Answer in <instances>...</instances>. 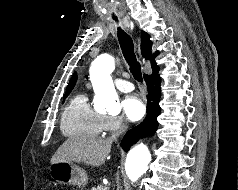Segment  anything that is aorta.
Segmentation results:
<instances>
[{"label": "aorta", "instance_id": "obj_1", "mask_svg": "<svg viewBox=\"0 0 238 190\" xmlns=\"http://www.w3.org/2000/svg\"><path fill=\"white\" fill-rule=\"evenodd\" d=\"M115 67L114 58L109 54L98 56L91 64L90 79L96 94V108L118 113L121 110L111 73ZM151 160L150 152L143 143L132 148L126 159L125 169L128 177L135 181L147 171Z\"/></svg>", "mask_w": 238, "mask_h": 190}]
</instances>
